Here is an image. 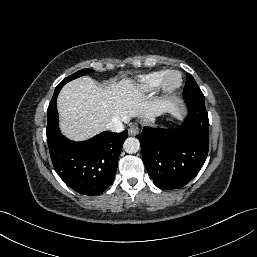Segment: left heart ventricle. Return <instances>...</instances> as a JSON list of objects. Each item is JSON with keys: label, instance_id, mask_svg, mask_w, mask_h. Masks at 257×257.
<instances>
[{"label": "left heart ventricle", "instance_id": "left-heart-ventricle-1", "mask_svg": "<svg viewBox=\"0 0 257 257\" xmlns=\"http://www.w3.org/2000/svg\"><path fill=\"white\" fill-rule=\"evenodd\" d=\"M176 81H177V78H176V77L172 78V82H173V83H175Z\"/></svg>", "mask_w": 257, "mask_h": 257}]
</instances>
